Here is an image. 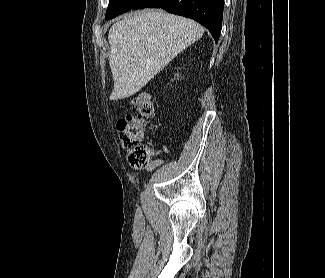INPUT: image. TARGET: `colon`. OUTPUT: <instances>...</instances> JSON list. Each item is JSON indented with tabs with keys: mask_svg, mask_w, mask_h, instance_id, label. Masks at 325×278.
<instances>
[{
	"mask_svg": "<svg viewBox=\"0 0 325 278\" xmlns=\"http://www.w3.org/2000/svg\"><path fill=\"white\" fill-rule=\"evenodd\" d=\"M132 114L120 119L117 132L127 151V162L135 169L147 165L151 149L144 143L145 131L154 114V104L148 94L140 93L130 100Z\"/></svg>",
	"mask_w": 325,
	"mask_h": 278,
	"instance_id": "colon-1",
	"label": "colon"
}]
</instances>
